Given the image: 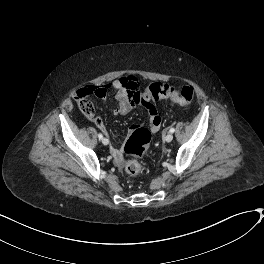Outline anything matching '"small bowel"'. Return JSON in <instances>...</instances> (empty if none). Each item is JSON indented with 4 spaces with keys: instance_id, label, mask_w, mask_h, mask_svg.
Here are the masks:
<instances>
[{
    "instance_id": "c3829d8e",
    "label": "small bowel",
    "mask_w": 264,
    "mask_h": 264,
    "mask_svg": "<svg viewBox=\"0 0 264 264\" xmlns=\"http://www.w3.org/2000/svg\"><path fill=\"white\" fill-rule=\"evenodd\" d=\"M110 87L114 89L118 103L114 112L118 115H125L129 113L134 108L132 96L140 89L138 79L133 75L118 78L108 85L97 87L94 95L100 99H105L107 96V89ZM146 108L149 115L147 125L151 131L155 132L159 129L161 123L160 116L154 106L149 105ZM96 126L106 135L110 136L108 127L103 121H97ZM135 126L137 125H131L130 127L123 129L122 134L129 135L132 133ZM110 153L115 163L118 166H122L125 161L122 146L113 145L110 149Z\"/></svg>"
}]
</instances>
